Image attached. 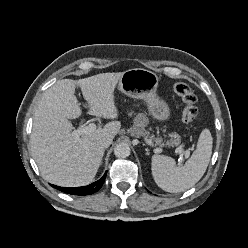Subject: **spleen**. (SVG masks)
I'll return each instance as SVG.
<instances>
[{"label": "spleen", "mask_w": 248, "mask_h": 248, "mask_svg": "<svg viewBox=\"0 0 248 248\" xmlns=\"http://www.w3.org/2000/svg\"><path fill=\"white\" fill-rule=\"evenodd\" d=\"M213 138L209 129H204L197 147L189 160L176 166L171 157L154 155L151 170L156 184L167 192H183L194 186L204 175L212 154Z\"/></svg>", "instance_id": "3e777b00"}]
</instances>
